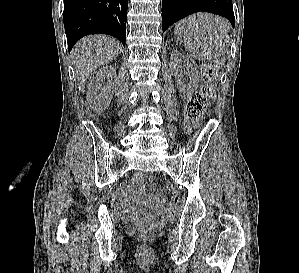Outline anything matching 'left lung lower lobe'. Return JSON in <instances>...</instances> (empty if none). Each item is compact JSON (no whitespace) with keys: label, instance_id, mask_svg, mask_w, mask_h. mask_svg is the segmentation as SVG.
<instances>
[{"label":"left lung lower lobe","instance_id":"0a47b994","mask_svg":"<svg viewBox=\"0 0 299 273\" xmlns=\"http://www.w3.org/2000/svg\"><path fill=\"white\" fill-rule=\"evenodd\" d=\"M200 11L221 15L235 24L232 0H162L163 32L178 20Z\"/></svg>","mask_w":299,"mask_h":273}]
</instances>
